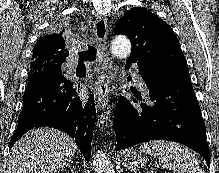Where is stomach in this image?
I'll list each match as a JSON object with an SVG mask.
<instances>
[{"label":"stomach","instance_id":"obj_1","mask_svg":"<svg viewBox=\"0 0 219 173\" xmlns=\"http://www.w3.org/2000/svg\"><path fill=\"white\" fill-rule=\"evenodd\" d=\"M146 164V159L141 153L129 151L124 154L123 165L128 169L135 170L142 168Z\"/></svg>","mask_w":219,"mask_h":173}]
</instances>
